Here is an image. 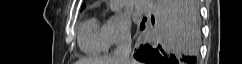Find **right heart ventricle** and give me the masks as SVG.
Listing matches in <instances>:
<instances>
[{"label":"right heart ventricle","instance_id":"obj_1","mask_svg":"<svg viewBox=\"0 0 242 64\" xmlns=\"http://www.w3.org/2000/svg\"><path fill=\"white\" fill-rule=\"evenodd\" d=\"M78 44L81 51L88 55H98L108 50L109 43L104 25H101L96 17H90L81 24Z\"/></svg>","mask_w":242,"mask_h":64}]
</instances>
